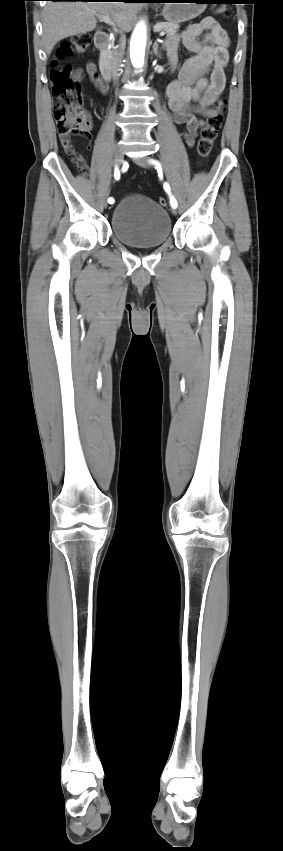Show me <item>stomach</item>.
Segmentation results:
<instances>
[{
  "label": "stomach",
  "mask_w": 283,
  "mask_h": 851,
  "mask_svg": "<svg viewBox=\"0 0 283 851\" xmlns=\"http://www.w3.org/2000/svg\"><path fill=\"white\" fill-rule=\"evenodd\" d=\"M162 9L163 17L171 23L186 22L199 16L206 8L207 0H167Z\"/></svg>",
  "instance_id": "stomach-1"
}]
</instances>
